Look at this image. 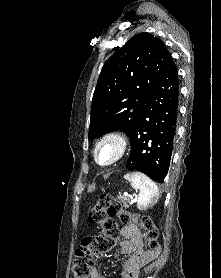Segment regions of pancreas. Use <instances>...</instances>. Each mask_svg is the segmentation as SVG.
<instances>
[{
	"label": "pancreas",
	"mask_w": 221,
	"mask_h": 278,
	"mask_svg": "<svg viewBox=\"0 0 221 278\" xmlns=\"http://www.w3.org/2000/svg\"><path fill=\"white\" fill-rule=\"evenodd\" d=\"M128 202H129V200L127 198H125V197L120 198V203H122L124 208L128 207V204H127Z\"/></svg>",
	"instance_id": "1"
}]
</instances>
